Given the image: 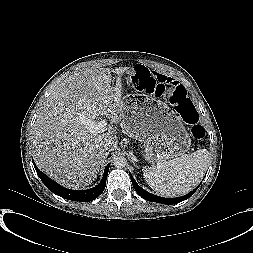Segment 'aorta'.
<instances>
[{
  "label": "aorta",
  "mask_w": 253,
  "mask_h": 253,
  "mask_svg": "<svg viewBox=\"0 0 253 253\" xmlns=\"http://www.w3.org/2000/svg\"><path fill=\"white\" fill-rule=\"evenodd\" d=\"M127 164V161L124 157L122 156H117L113 159V165L116 167V168H124Z\"/></svg>",
  "instance_id": "obj_1"
}]
</instances>
